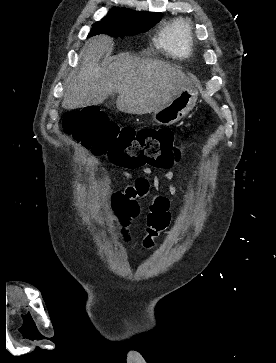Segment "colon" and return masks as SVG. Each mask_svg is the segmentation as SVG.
I'll return each mask as SVG.
<instances>
[{
  "label": "colon",
  "instance_id": "colon-1",
  "mask_svg": "<svg viewBox=\"0 0 276 363\" xmlns=\"http://www.w3.org/2000/svg\"><path fill=\"white\" fill-rule=\"evenodd\" d=\"M64 127L94 153L106 155L120 166L169 168L181 157L176 137L170 129L119 128L109 122L104 113L94 108L69 113L65 117ZM148 220L151 228L162 230L169 223V212L165 221L158 220L155 214L149 215ZM143 245L150 248L153 239L145 236Z\"/></svg>",
  "mask_w": 276,
  "mask_h": 363
}]
</instances>
